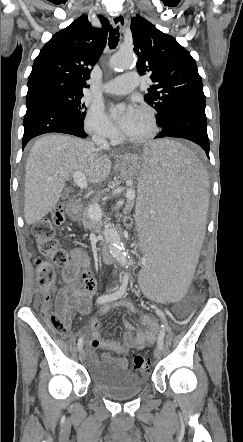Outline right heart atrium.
I'll return each mask as SVG.
<instances>
[{
	"instance_id": "obj_1",
	"label": "right heart atrium",
	"mask_w": 243,
	"mask_h": 442,
	"mask_svg": "<svg viewBox=\"0 0 243 442\" xmlns=\"http://www.w3.org/2000/svg\"><path fill=\"white\" fill-rule=\"evenodd\" d=\"M84 128L92 136L115 141L118 132L109 121L103 110L98 106H92L88 110L84 119Z\"/></svg>"
}]
</instances>
